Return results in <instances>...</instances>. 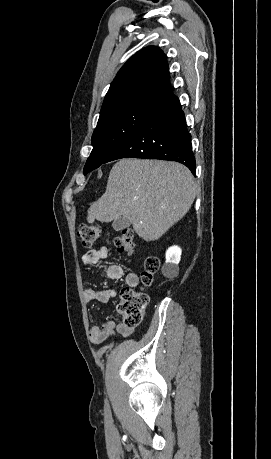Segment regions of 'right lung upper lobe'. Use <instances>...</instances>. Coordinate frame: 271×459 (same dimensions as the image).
<instances>
[{"mask_svg":"<svg viewBox=\"0 0 271 459\" xmlns=\"http://www.w3.org/2000/svg\"><path fill=\"white\" fill-rule=\"evenodd\" d=\"M176 99L163 51L149 46L133 55L119 70L105 96L100 117L131 109L158 113Z\"/></svg>","mask_w":271,"mask_h":459,"instance_id":"cb5924a9","label":"right lung upper lobe"}]
</instances>
